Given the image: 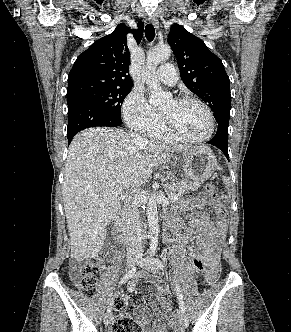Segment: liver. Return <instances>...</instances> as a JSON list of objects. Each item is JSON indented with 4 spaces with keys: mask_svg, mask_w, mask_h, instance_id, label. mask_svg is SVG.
<instances>
[{
    "mask_svg": "<svg viewBox=\"0 0 291 332\" xmlns=\"http://www.w3.org/2000/svg\"><path fill=\"white\" fill-rule=\"evenodd\" d=\"M188 148L135 142L131 133L117 128H88L77 134L69 146L63 181L71 257L79 262L96 258L124 191L139 188L154 168Z\"/></svg>",
    "mask_w": 291,
    "mask_h": 332,
    "instance_id": "6515ba94",
    "label": "liver"
}]
</instances>
